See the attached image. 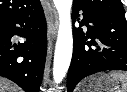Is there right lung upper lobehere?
I'll list each match as a JSON object with an SVG mask.
<instances>
[{
	"instance_id": "1",
	"label": "right lung upper lobe",
	"mask_w": 127,
	"mask_h": 92,
	"mask_svg": "<svg viewBox=\"0 0 127 92\" xmlns=\"http://www.w3.org/2000/svg\"><path fill=\"white\" fill-rule=\"evenodd\" d=\"M39 0H0V21L35 9Z\"/></svg>"
}]
</instances>
